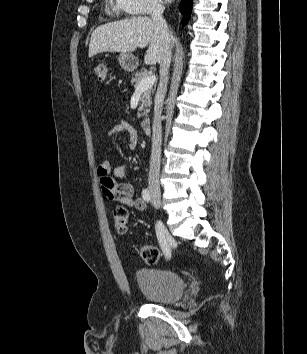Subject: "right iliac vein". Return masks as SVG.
Returning a JSON list of instances; mask_svg holds the SVG:
<instances>
[{"label":"right iliac vein","instance_id":"1","mask_svg":"<svg viewBox=\"0 0 307 354\" xmlns=\"http://www.w3.org/2000/svg\"><path fill=\"white\" fill-rule=\"evenodd\" d=\"M153 200L154 202L157 204L158 207H161L162 206V202H161V199L157 196H154L153 197Z\"/></svg>","mask_w":307,"mask_h":354}]
</instances>
